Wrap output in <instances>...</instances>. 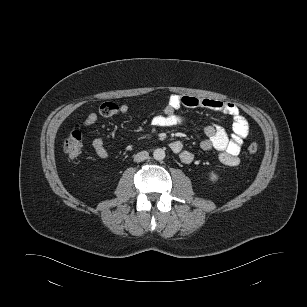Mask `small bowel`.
Instances as JSON below:
<instances>
[{
    "label": "small bowel",
    "mask_w": 307,
    "mask_h": 307,
    "mask_svg": "<svg viewBox=\"0 0 307 307\" xmlns=\"http://www.w3.org/2000/svg\"><path fill=\"white\" fill-rule=\"evenodd\" d=\"M181 107H204L232 117L233 135L231 137L221 126L207 125L204 128L205 139L200 142V147L205 151L212 149L218 151L220 153V160L224 165L237 166L240 162L239 153L243 141L250 133L249 122L246 117L241 114L239 108L234 103L228 101L174 94L170 96L164 108V112L152 118V125L164 128L183 124L185 118L177 112ZM129 111L130 106L128 104L118 105L113 102H105L100 106L99 114L91 112L86 116L83 121V126L89 127L94 125L99 115L103 117H113L118 114H127ZM92 148L99 158H109V152L105 148L102 139L95 138L92 141ZM170 148L179 156L183 163L189 164L193 161V153L184 149L180 141H173L170 144Z\"/></svg>",
    "instance_id": "c3829d8e"
}]
</instances>
